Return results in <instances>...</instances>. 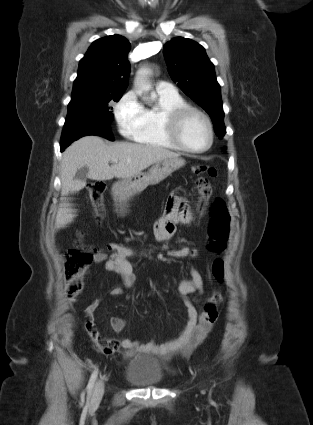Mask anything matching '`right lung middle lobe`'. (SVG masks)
Listing matches in <instances>:
<instances>
[{
    "instance_id": "obj_1",
    "label": "right lung middle lobe",
    "mask_w": 313,
    "mask_h": 425,
    "mask_svg": "<svg viewBox=\"0 0 313 425\" xmlns=\"http://www.w3.org/2000/svg\"><path fill=\"white\" fill-rule=\"evenodd\" d=\"M123 93H107L98 95H83L72 97L68 104V114L66 122L71 121V117L76 114H86L98 116L106 122L113 120L112 107L110 102H118Z\"/></svg>"
}]
</instances>
